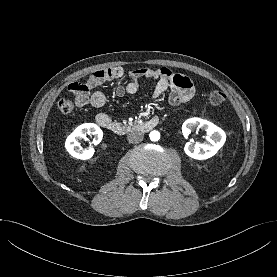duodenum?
I'll return each mask as SVG.
<instances>
[{
	"label": "duodenum",
	"mask_w": 277,
	"mask_h": 277,
	"mask_svg": "<svg viewBox=\"0 0 277 277\" xmlns=\"http://www.w3.org/2000/svg\"><path fill=\"white\" fill-rule=\"evenodd\" d=\"M159 123L158 118H151L137 126V128L143 132H148L156 127ZM99 125L116 135H125L132 130V127L122 125L118 122L112 121L111 119H102Z\"/></svg>",
	"instance_id": "1"
}]
</instances>
